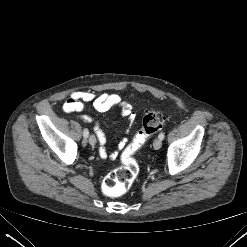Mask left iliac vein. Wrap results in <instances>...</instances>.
I'll list each match as a JSON object with an SVG mask.
<instances>
[{
	"label": "left iliac vein",
	"instance_id": "1",
	"mask_svg": "<svg viewBox=\"0 0 247 247\" xmlns=\"http://www.w3.org/2000/svg\"><path fill=\"white\" fill-rule=\"evenodd\" d=\"M162 146V140L160 138H157L154 140L153 147L155 150L160 149Z\"/></svg>",
	"mask_w": 247,
	"mask_h": 247
}]
</instances>
